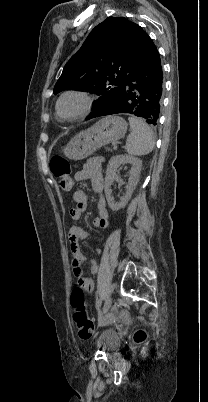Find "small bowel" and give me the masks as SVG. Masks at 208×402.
I'll list each match as a JSON object with an SVG mask.
<instances>
[{
  "label": "small bowel",
  "mask_w": 208,
  "mask_h": 402,
  "mask_svg": "<svg viewBox=\"0 0 208 402\" xmlns=\"http://www.w3.org/2000/svg\"><path fill=\"white\" fill-rule=\"evenodd\" d=\"M78 182H84L90 180L93 190L96 193H101L103 190V172L102 163L99 158L89 159L82 169L78 170L74 176ZM73 200L76 203V208L71 211L72 220H78L82 213L87 209V193L82 190H76L73 194ZM98 216L93 220V225L96 228L105 229L109 224V212L106 207V201L104 198H99L97 201ZM87 237V232L79 227L72 226L68 231V239L73 248L72 250V264L73 274L78 278L80 284L86 291H93L94 283L91 279L85 277L82 271L83 255L76 248L79 240H83ZM91 271L96 273L98 271V263L93 260L90 264Z\"/></svg>",
  "instance_id": "c3829d8e"
}]
</instances>
